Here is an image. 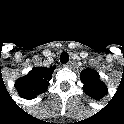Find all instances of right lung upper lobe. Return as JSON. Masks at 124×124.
I'll return each mask as SVG.
<instances>
[{"mask_svg":"<svg viewBox=\"0 0 124 124\" xmlns=\"http://www.w3.org/2000/svg\"><path fill=\"white\" fill-rule=\"evenodd\" d=\"M54 69L55 67H36L24 77L17 79L15 87L19 94L26 99H32L46 92Z\"/></svg>","mask_w":124,"mask_h":124,"instance_id":"cb5924a9","label":"right lung upper lobe"}]
</instances>
